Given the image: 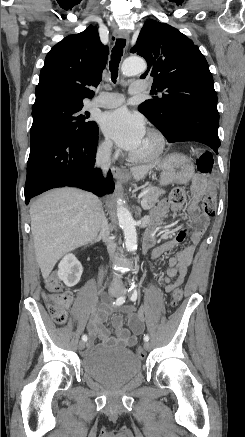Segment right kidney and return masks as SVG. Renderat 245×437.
<instances>
[{
	"label": "right kidney",
	"instance_id": "1",
	"mask_svg": "<svg viewBox=\"0 0 245 437\" xmlns=\"http://www.w3.org/2000/svg\"><path fill=\"white\" fill-rule=\"evenodd\" d=\"M82 272V265L73 254L65 255L58 265V277L69 287L79 282Z\"/></svg>",
	"mask_w": 245,
	"mask_h": 437
}]
</instances>
